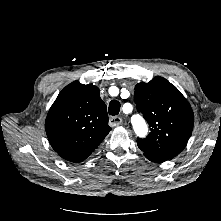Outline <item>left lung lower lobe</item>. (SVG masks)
Masks as SVG:
<instances>
[{
    "label": "left lung lower lobe",
    "instance_id": "left-lung-lower-lobe-1",
    "mask_svg": "<svg viewBox=\"0 0 221 221\" xmlns=\"http://www.w3.org/2000/svg\"><path fill=\"white\" fill-rule=\"evenodd\" d=\"M149 160L153 161V162H157V163H160V162H164L166 161V159H155V158H151L149 156H146Z\"/></svg>",
    "mask_w": 221,
    "mask_h": 221
}]
</instances>
